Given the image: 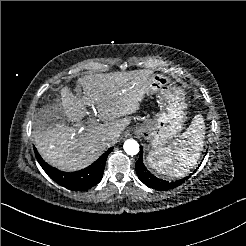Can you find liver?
<instances>
[{"instance_id": "liver-1", "label": "liver", "mask_w": 246, "mask_h": 246, "mask_svg": "<svg viewBox=\"0 0 246 246\" xmlns=\"http://www.w3.org/2000/svg\"><path fill=\"white\" fill-rule=\"evenodd\" d=\"M153 78L152 73H140L125 77L89 75L78 79L77 97L65 87L58 103L59 111L72 124L57 123L52 116H36L33 131L36 147L45 159L62 168L88 164L116 142L127 125L117 119L140 110ZM94 102L95 107L88 111L85 105ZM110 133H114L113 138L106 139Z\"/></svg>"}]
</instances>
